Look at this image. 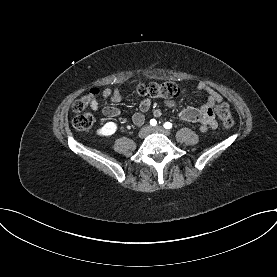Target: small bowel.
I'll use <instances>...</instances> for the list:
<instances>
[{"mask_svg":"<svg viewBox=\"0 0 277 277\" xmlns=\"http://www.w3.org/2000/svg\"><path fill=\"white\" fill-rule=\"evenodd\" d=\"M197 88L208 94L206 103L199 107H184L178 111V116L181 120L198 123L200 125V130L205 131L209 127L214 128L216 126L214 106L222 103L223 98L219 92L205 82H199ZM102 96L104 99H109L113 103H119L122 100V95L118 88L113 89L107 87L102 90ZM164 104L168 108L175 109L178 107L174 100H165ZM90 105L94 111L99 110V104L96 98L91 100ZM150 106L151 100L149 98L142 100L139 105V110L131 115L132 123L137 126L142 125L145 121V112L149 110ZM101 112L108 118H115L122 114V111L118 107L111 105L104 106ZM161 114L162 112L160 109H155L153 111V116L156 118L160 117Z\"/></svg>","mask_w":277,"mask_h":277,"instance_id":"1","label":"small bowel"}]
</instances>
